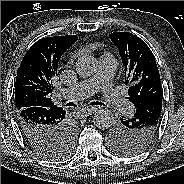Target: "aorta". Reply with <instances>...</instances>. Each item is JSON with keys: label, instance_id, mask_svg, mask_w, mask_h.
Here are the masks:
<instances>
[{"label": "aorta", "instance_id": "obj_1", "mask_svg": "<svg viewBox=\"0 0 184 184\" xmlns=\"http://www.w3.org/2000/svg\"><path fill=\"white\" fill-rule=\"evenodd\" d=\"M76 72L80 77L92 76L98 68L97 59L93 56H81L76 61ZM94 125L102 130L108 129L114 122V115L109 109L98 110L93 117Z\"/></svg>", "mask_w": 184, "mask_h": 184}]
</instances>
